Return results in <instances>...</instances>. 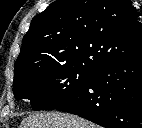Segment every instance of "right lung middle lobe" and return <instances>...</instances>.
<instances>
[{"mask_svg": "<svg viewBox=\"0 0 142 128\" xmlns=\"http://www.w3.org/2000/svg\"><path fill=\"white\" fill-rule=\"evenodd\" d=\"M92 74L80 65L38 68L15 78L13 93L17 100H31L33 110L58 109L85 89Z\"/></svg>", "mask_w": 142, "mask_h": 128, "instance_id": "dd1d6c3e", "label": "right lung middle lobe"}]
</instances>
